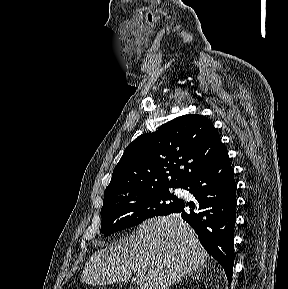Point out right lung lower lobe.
<instances>
[{"instance_id": "98d812e1", "label": "right lung lower lobe", "mask_w": 288, "mask_h": 289, "mask_svg": "<svg viewBox=\"0 0 288 289\" xmlns=\"http://www.w3.org/2000/svg\"><path fill=\"white\" fill-rule=\"evenodd\" d=\"M180 188L188 190L196 201H180L168 214H181L182 219L194 229L206 251L222 265L231 283L237 185L227 152ZM187 206L189 211L184 210Z\"/></svg>"}]
</instances>
